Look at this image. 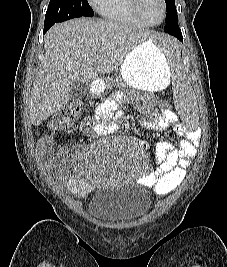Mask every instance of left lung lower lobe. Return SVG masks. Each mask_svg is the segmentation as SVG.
I'll use <instances>...</instances> for the list:
<instances>
[{
	"label": "left lung lower lobe",
	"instance_id": "obj_1",
	"mask_svg": "<svg viewBox=\"0 0 227 267\" xmlns=\"http://www.w3.org/2000/svg\"><path fill=\"white\" fill-rule=\"evenodd\" d=\"M164 31L177 37L181 42H183L182 33L178 25V17L166 23V26L164 27Z\"/></svg>",
	"mask_w": 227,
	"mask_h": 267
}]
</instances>
